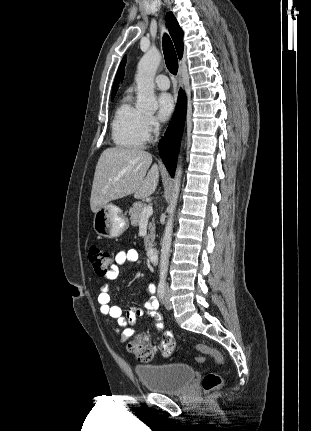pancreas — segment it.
Instances as JSON below:
<instances>
[{
  "label": "pancreas",
  "mask_w": 311,
  "mask_h": 431,
  "mask_svg": "<svg viewBox=\"0 0 311 431\" xmlns=\"http://www.w3.org/2000/svg\"><path fill=\"white\" fill-rule=\"evenodd\" d=\"M143 208H146L145 202H136V204H133L132 208H129L130 221L132 225H134V227H136V225H139L141 221ZM152 219H154V217H152ZM154 237H155V225L153 221H149L148 235L144 237L146 251H149V249L153 247Z\"/></svg>",
  "instance_id": "cf45deb5"
}]
</instances>
